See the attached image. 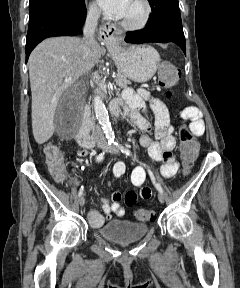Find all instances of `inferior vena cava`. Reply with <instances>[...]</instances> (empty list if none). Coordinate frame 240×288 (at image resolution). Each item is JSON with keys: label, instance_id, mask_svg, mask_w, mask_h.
<instances>
[{"label": "inferior vena cava", "instance_id": "1", "mask_svg": "<svg viewBox=\"0 0 240 288\" xmlns=\"http://www.w3.org/2000/svg\"><path fill=\"white\" fill-rule=\"evenodd\" d=\"M101 11L98 7L94 6L89 9L86 16V21L84 24V38H83V59L88 62L90 57L91 48L97 43L94 34L96 27L98 25V19L100 17ZM87 125L92 126V122L88 120ZM93 137L95 140H103L104 136L102 130L99 126L94 127Z\"/></svg>", "mask_w": 240, "mask_h": 288}]
</instances>
